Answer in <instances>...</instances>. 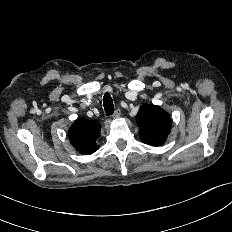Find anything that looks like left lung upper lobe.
<instances>
[{
  "instance_id": "5c2ea615",
  "label": "left lung upper lobe",
  "mask_w": 232,
  "mask_h": 232,
  "mask_svg": "<svg viewBox=\"0 0 232 232\" xmlns=\"http://www.w3.org/2000/svg\"><path fill=\"white\" fill-rule=\"evenodd\" d=\"M140 127L141 141L153 145H162L171 130L169 114L159 106L143 105L136 115Z\"/></svg>"
}]
</instances>
